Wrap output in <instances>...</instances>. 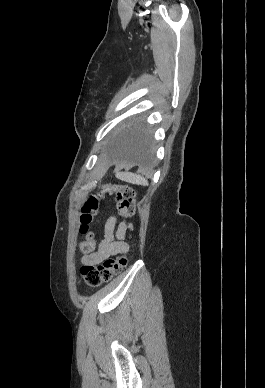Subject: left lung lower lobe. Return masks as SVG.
I'll use <instances>...</instances> for the list:
<instances>
[{
	"label": "left lung lower lobe",
	"instance_id": "obj_1",
	"mask_svg": "<svg viewBox=\"0 0 265 388\" xmlns=\"http://www.w3.org/2000/svg\"><path fill=\"white\" fill-rule=\"evenodd\" d=\"M109 148L120 160L141 165L151 163L150 134L139 124L133 123L122 129Z\"/></svg>",
	"mask_w": 265,
	"mask_h": 388
}]
</instances>
